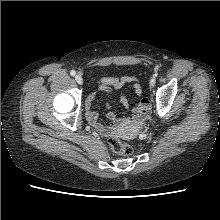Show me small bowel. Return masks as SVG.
I'll list each match as a JSON object with an SVG mask.
<instances>
[{
  "instance_id": "small-bowel-1",
  "label": "small bowel",
  "mask_w": 220,
  "mask_h": 220,
  "mask_svg": "<svg viewBox=\"0 0 220 220\" xmlns=\"http://www.w3.org/2000/svg\"><path fill=\"white\" fill-rule=\"evenodd\" d=\"M125 85H130L135 94L140 97L142 95V87L139 81L134 76H123L120 78L115 77H103L100 81L99 91L107 94H111L114 89H120ZM96 94L90 95L86 99L85 104V114L87 121L90 125L95 127L101 134L106 135L110 132V127L105 125L99 120V117L97 113L94 111L92 107V102L95 99ZM146 100L145 98H142L140 100L139 105L135 109V116L139 117L143 115V101ZM119 104L122 109L127 110L129 108V101L125 96H121L119 99ZM108 119L110 121H115L116 117L113 113H108Z\"/></svg>"
}]
</instances>
